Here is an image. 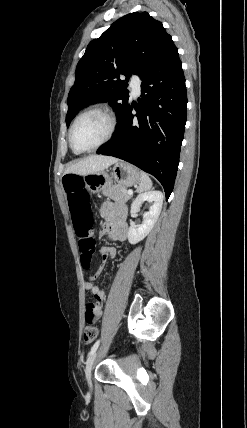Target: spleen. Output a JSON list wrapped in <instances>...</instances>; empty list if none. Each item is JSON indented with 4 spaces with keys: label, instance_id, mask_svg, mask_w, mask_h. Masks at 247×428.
<instances>
[{
    "label": "spleen",
    "instance_id": "spleen-1",
    "mask_svg": "<svg viewBox=\"0 0 247 428\" xmlns=\"http://www.w3.org/2000/svg\"><path fill=\"white\" fill-rule=\"evenodd\" d=\"M152 187V181L149 178V176L145 172H140V183L139 187L137 188V192L141 193L144 191H147L151 189Z\"/></svg>",
    "mask_w": 247,
    "mask_h": 428
}]
</instances>
